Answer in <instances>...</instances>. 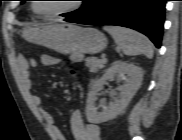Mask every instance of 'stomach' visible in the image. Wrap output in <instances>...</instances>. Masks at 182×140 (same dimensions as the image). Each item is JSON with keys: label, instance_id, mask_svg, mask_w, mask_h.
I'll return each instance as SVG.
<instances>
[{"label": "stomach", "instance_id": "0dacf381", "mask_svg": "<svg viewBox=\"0 0 182 140\" xmlns=\"http://www.w3.org/2000/svg\"><path fill=\"white\" fill-rule=\"evenodd\" d=\"M26 40L43 45L61 54H96L105 49L107 39L94 28L68 23H48L23 31Z\"/></svg>", "mask_w": 182, "mask_h": 140}]
</instances>
